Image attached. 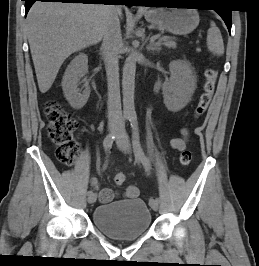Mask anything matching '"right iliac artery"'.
<instances>
[{"instance_id": "1", "label": "right iliac artery", "mask_w": 259, "mask_h": 266, "mask_svg": "<svg viewBox=\"0 0 259 266\" xmlns=\"http://www.w3.org/2000/svg\"><path fill=\"white\" fill-rule=\"evenodd\" d=\"M127 119H129V116H124V117H123V125L125 124V121H126ZM115 137H116V132L110 133V134H108V135L105 137V139H104V141H103V146H104V149H105V151H106L107 153L109 152V150H110V148H111V146H112V143H113ZM106 167H107V162L104 164L103 169H106ZM92 194H93V191H92V190L88 191V196H90V195H92Z\"/></svg>"}]
</instances>
